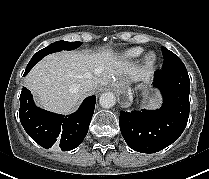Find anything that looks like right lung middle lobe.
<instances>
[{
    "label": "right lung middle lobe",
    "instance_id": "dd1d6c3e",
    "mask_svg": "<svg viewBox=\"0 0 209 179\" xmlns=\"http://www.w3.org/2000/svg\"><path fill=\"white\" fill-rule=\"evenodd\" d=\"M82 43L81 42H67V41H57L52 44H50L48 47L38 51L30 60L29 64H36L39 60H41L44 56L62 51V50H73L75 48H78ZM28 64V65H29Z\"/></svg>",
    "mask_w": 209,
    "mask_h": 179
}]
</instances>
